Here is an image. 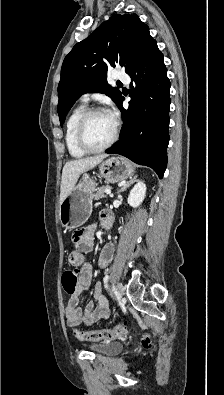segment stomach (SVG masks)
I'll return each mask as SVG.
<instances>
[{
  "mask_svg": "<svg viewBox=\"0 0 224 395\" xmlns=\"http://www.w3.org/2000/svg\"><path fill=\"white\" fill-rule=\"evenodd\" d=\"M99 173L108 183H118L134 173L132 164L123 157H111L99 165ZM95 181L84 175L77 186L63 200L59 220L63 227L75 229L83 225L92 212V195L97 190Z\"/></svg>",
  "mask_w": 224,
  "mask_h": 395,
  "instance_id": "1",
  "label": "stomach"
}]
</instances>
